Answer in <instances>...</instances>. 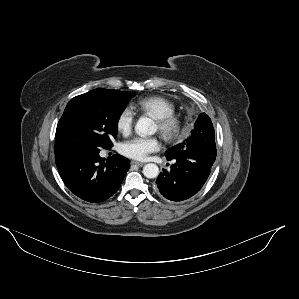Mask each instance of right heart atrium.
<instances>
[{
  "instance_id": "1",
  "label": "right heart atrium",
  "mask_w": 299,
  "mask_h": 299,
  "mask_svg": "<svg viewBox=\"0 0 299 299\" xmlns=\"http://www.w3.org/2000/svg\"><path fill=\"white\" fill-rule=\"evenodd\" d=\"M134 121V111L132 108L126 106L119 112L116 118V130L122 135H128L133 129Z\"/></svg>"
}]
</instances>
